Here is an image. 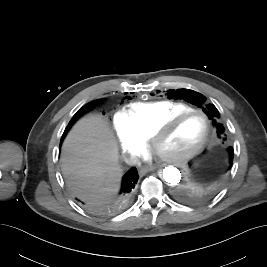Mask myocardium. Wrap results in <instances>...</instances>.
<instances>
[{
	"label": "myocardium",
	"mask_w": 267,
	"mask_h": 267,
	"mask_svg": "<svg viewBox=\"0 0 267 267\" xmlns=\"http://www.w3.org/2000/svg\"><path fill=\"white\" fill-rule=\"evenodd\" d=\"M197 114L203 117L205 122V133L201 140L191 147L188 150L173 153L170 155H162L164 160L172 163H180L189 160L190 158L194 157L198 153L202 151V149L206 146L210 132H211V122L208 117V115L200 110V109H188L185 111L178 112L176 114L171 115L169 118H167L164 122H162L157 129L154 131V133L151 136V146L154 150L158 151L159 143L161 139L171 130L173 126H175L179 121H181L183 118L192 115ZM159 152V151H158Z\"/></svg>",
	"instance_id": "myocardium-1"
}]
</instances>
